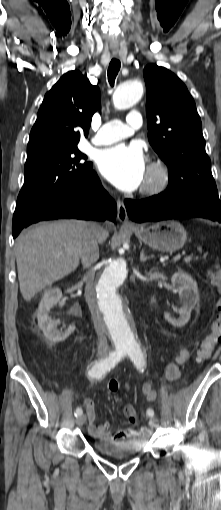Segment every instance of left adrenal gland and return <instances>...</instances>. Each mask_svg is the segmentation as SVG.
<instances>
[{
  "label": "left adrenal gland",
  "instance_id": "left-adrenal-gland-1",
  "mask_svg": "<svg viewBox=\"0 0 221 510\" xmlns=\"http://www.w3.org/2000/svg\"><path fill=\"white\" fill-rule=\"evenodd\" d=\"M153 258V256H146L144 250L140 252V261L145 262L148 259Z\"/></svg>",
  "mask_w": 221,
  "mask_h": 510
}]
</instances>
